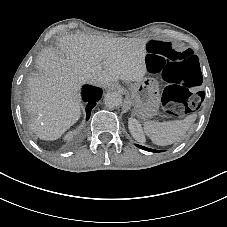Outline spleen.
Here are the masks:
<instances>
[{"instance_id": "1", "label": "spleen", "mask_w": 227, "mask_h": 227, "mask_svg": "<svg viewBox=\"0 0 227 227\" xmlns=\"http://www.w3.org/2000/svg\"><path fill=\"white\" fill-rule=\"evenodd\" d=\"M195 119V115L191 114L184 120L166 121L163 123L146 122L143 129L155 144L164 146L179 141Z\"/></svg>"}]
</instances>
